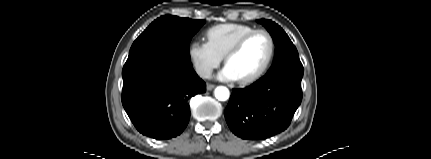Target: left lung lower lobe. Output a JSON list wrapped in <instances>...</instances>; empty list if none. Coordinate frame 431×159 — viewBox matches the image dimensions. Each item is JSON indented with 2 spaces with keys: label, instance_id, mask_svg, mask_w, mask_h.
<instances>
[{
  "label": "left lung lower lobe",
  "instance_id": "left-lung-lower-lobe-1",
  "mask_svg": "<svg viewBox=\"0 0 431 159\" xmlns=\"http://www.w3.org/2000/svg\"><path fill=\"white\" fill-rule=\"evenodd\" d=\"M303 68L284 67L254 84L233 89L225 109L231 131L246 140H264L289 126L302 100Z\"/></svg>",
  "mask_w": 431,
  "mask_h": 159
}]
</instances>
